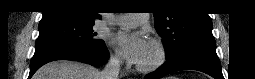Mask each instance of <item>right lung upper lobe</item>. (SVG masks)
I'll return each instance as SVG.
<instances>
[{
    "label": "right lung upper lobe",
    "instance_id": "cb5924a9",
    "mask_svg": "<svg viewBox=\"0 0 255 79\" xmlns=\"http://www.w3.org/2000/svg\"><path fill=\"white\" fill-rule=\"evenodd\" d=\"M41 20L75 18L83 21L101 19L94 0H49Z\"/></svg>",
    "mask_w": 255,
    "mask_h": 79
}]
</instances>
